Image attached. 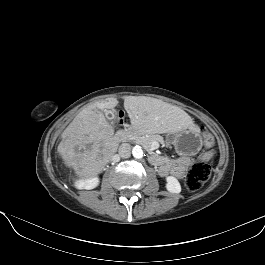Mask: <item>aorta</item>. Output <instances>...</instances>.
<instances>
[{
	"instance_id": "obj_1",
	"label": "aorta",
	"mask_w": 265,
	"mask_h": 265,
	"mask_svg": "<svg viewBox=\"0 0 265 265\" xmlns=\"http://www.w3.org/2000/svg\"><path fill=\"white\" fill-rule=\"evenodd\" d=\"M143 150L141 146H134L132 148V155L136 158V159H141L143 157Z\"/></svg>"
}]
</instances>
